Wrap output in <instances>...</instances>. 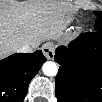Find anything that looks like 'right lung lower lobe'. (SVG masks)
<instances>
[{
  "label": "right lung lower lobe",
  "instance_id": "right-lung-lower-lobe-1",
  "mask_svg": "<svg viewBox=\"0 0 102 102\" xmlns=\"http://www.w3.org/2000/svg\"><path fill=\"white\" fill-rule=\"evenodd\" d=\"M46 58L40 50L18 53L0 61L1 102H22L31 79L38 73Z\"/></svg>",
  "mask_w": 102,
  "mask_h": 102
}]
</instances>
